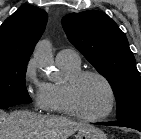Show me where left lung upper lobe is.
Segmentation results:
<instances>
[{
    "label": "left lung upper lobe",
    "instance_id": "obj_1",
    "mask_svg": "<svg viewBox=\"0 0 141 139\" xmlns=\"http://www.w3.org/2000/svg\"><path fill=\"white\" fill-rule=\"evenodd\" d=\"M69 41L110 83L118 120L141 117V79L125 34L105 13L88 10L62 19Z\"/></svg>",
    "mask_w": 141,
    "mask_h": 139
}]
</instances>
